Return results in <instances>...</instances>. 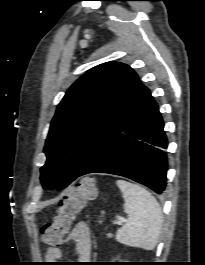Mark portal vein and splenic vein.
<instances>
[{"mask_svg": "<svg viewBox=\"0 0 205 265\" xmlns=\"http://www.w3.org/2000/svg\"><path fill=\"white\" fill-rule=\"evenodd\" d=\"M126 220L124 218H119L117 219L114 223L117 225H121L122 223H124Z\"/></svg>", "mask_w": 205, "mask_h": 265, "instance_id": "18ae733b", "label": "portal vein and splenic vein"}]
</instances>
